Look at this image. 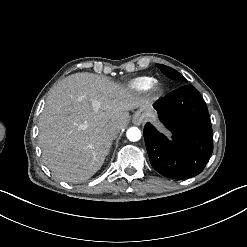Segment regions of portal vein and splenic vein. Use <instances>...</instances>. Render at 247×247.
<instances>
[{"label": "portal vein and splenic vein", "instance_id": "1", "mask_svg": "<svg viewBox=\"0 0 247 247\" xmlns=\"http://www.w3.org/2000/svg\"><path fill=\"white\" fill-rule=\"evenodd\" d=\"M90 103H91V106H92L93 114L99 113L100 107H101V103L98 100H96L95 98H91L90 99ZM83 127L86 128L87 127V123L83 124Z\"/></svg>", "mask_w": 247, "mask_h": 247}]
</instances>
